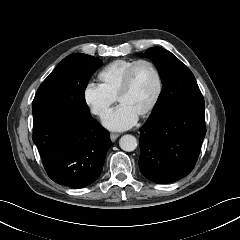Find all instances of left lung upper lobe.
<instances>
[{
  "label": "left lung upper lobe",
  "mask_w": 240,
  "mask_h": 240,
  "mask_svg": "<svg viewBox=\"0 0 240 240\" xmlns=\"http://www.w3.org/2000/svg\"><path fill=\"white\" fill-rule=\"evenodd\" d=\"M142 57L153 59L163 83L149 121L179 106L204 108V99L193 73L176 56L161 47H152Z\"/></svg>",
  "instance_id": "left-lung-upper-lobe-1"
}]
</instances>
